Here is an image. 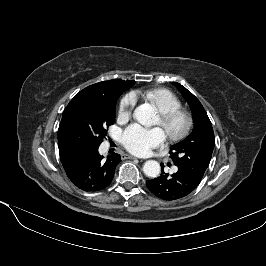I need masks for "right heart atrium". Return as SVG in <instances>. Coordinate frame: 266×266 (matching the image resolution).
Instances as JSON below:
<instances>
[{
	"label": "right heart atrium",
	"mask_w": 266,
	"mask_h": 266,
	"mask_svg": "<svg viewBox=\"0 0 266 266\" xmlns=\"http://www.w3.org/2000/svg\"><path fill=\"white\" fill-rule=\"evenodd\" d=\"M138 101V95L136 92L131 91L125 94L119 104V116L121 118H127L132 113L135 105Z\"/></svg>",
	"instance_id": "1"
}]
</instances>
